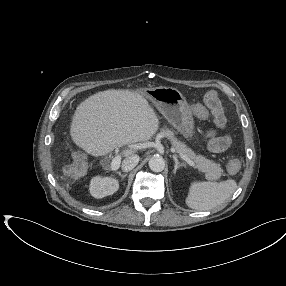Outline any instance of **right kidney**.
Here are the masks:
<instances>
[{
    "label": "right kidney",
    "instance_id": "right-kidney-1",
    "mask_svg": "<svg viewBox=\"0 0 286 286\" xmlns=\"http://www.w3.org/2000/svg\"><path fill=\"white\" fill-rule=\"evenodd\" d=\"M119 189L118 180L112 177L96 176L90 182V193L99 199L114 194Z\"/></svg>",
    "mask_w": 286,
    "mask_h": 286
}]
</instances>
